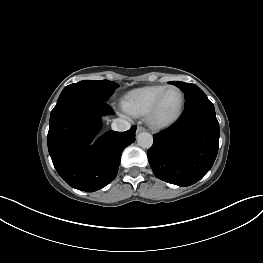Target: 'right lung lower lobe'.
Here are the masks:
<instances>
[{
    "instance_id": "obj_1",
    "label": "right lung lower lobe",
    "mask_w": 263,
    "mask_h": 263,
    "mask_svg": "<svg viewBox=\"0 0 263 263\" xmlns=\"http://www.w3.org/2000/svg\"><path fill=\"white\" fill-rule=\"evenodd\" d=\"M114 114L104 101L71 98L51 112L48 150L55 169L70 186L94 192L115 179L122 151L135 141L136 126L126 132L101 129V116Z\"/></svg>"
}]
</instances>
